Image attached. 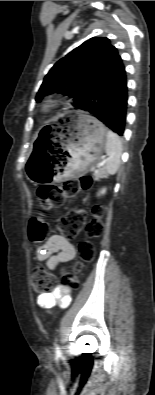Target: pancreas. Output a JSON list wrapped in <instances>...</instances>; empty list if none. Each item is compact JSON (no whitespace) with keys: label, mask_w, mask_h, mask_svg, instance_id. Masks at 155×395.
I'll return each mask as SVG.
<instances>
[{"label":"pancreas","mask_w":155,"mask_h":395,"mask_svg":"<svg viewBox=\"0 0 155 395\" xmlns=\"http://www.w3.org/2000/svg\"><path fill=\"white\" fill-rule=\"evenodd\" d=\"M104 177H106V172L104 170L96 171L93 176L94 180H99Z\"/></svg>","instance_id":"1"}]
</instances>
